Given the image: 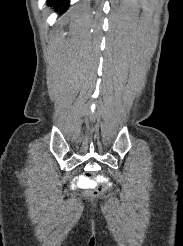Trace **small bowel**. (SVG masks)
Here are the masks:
<instances>
[{"label":"small bowel","mask_w":183,"mask_h":246,"mask_svg":"<svg viewBox=\"0 0 183 246\" xmlns=\"http://www.w3.org/2000/svg\"><path fill=\"white\" fill-rule=\"evenodd\" d=\"M94 182H108L107 183V191H114V183L110 181V177H106L105 174H94ZM77 179L75 180V185H86L90 184V180L88 179V174H77Z\"/></svg>","instance_id":"small-bowel-1"}]
</instances>
